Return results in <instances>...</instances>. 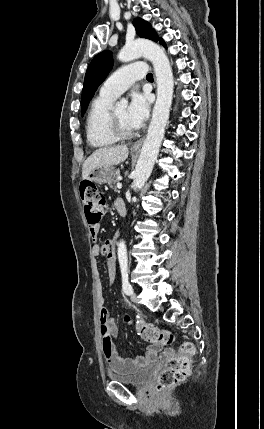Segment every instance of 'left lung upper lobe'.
<instances>
[{"label": "left lung upper lobe", "mask_w": 264, "mask_h": 429, "mask_svg": "<svg viewBox=\"0 0 264 429\" xmlns=\"http://www.w3.org/2000/svg\"><path fill=\"white\" fill-rule=\"evenodd\" d=\"M133 25L137 34L142 38H147L155 42L161 38L158 37L152 26L141 18L133 20ZM113 66L110 51H103L97 54L91 61L84 79V85L81 96V115L83 116L87 106L94 96L98 86L104 81Z\"/></svg>", "instance_id": "1"}]
</instances>
